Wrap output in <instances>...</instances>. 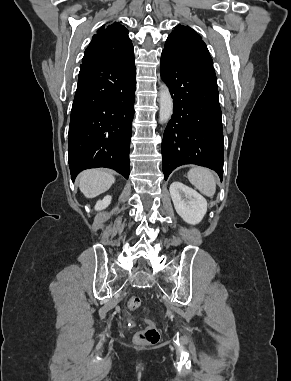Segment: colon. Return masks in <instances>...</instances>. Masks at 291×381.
<instances>
[{"label": "colon", "instance_id": "5ec220e1", "mask_svg": "<svg viewBox=\"0 0 291 381\" xmlns=\"http://www.w3.org/2000/svg\"><path fill=\"white\" fill-rule=\"evenodd\" d=\"M130 310H135L140 306V298L131 296L127 300ZM160 333L155 323L151 320L146 321V326L136 334V342L143 345H153L159 341Z\"/></svg>", "mask_w": 291, "mask_h": 381}]
</instances>
